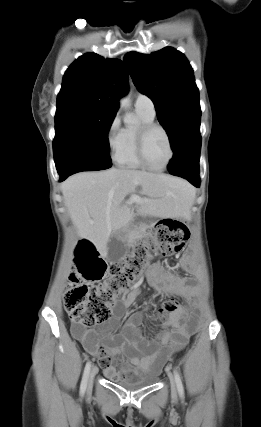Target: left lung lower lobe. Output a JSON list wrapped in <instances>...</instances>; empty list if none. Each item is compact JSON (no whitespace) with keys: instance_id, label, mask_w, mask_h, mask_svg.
<instances>
[{"instance_id":"0a47b994","label":"left lung lower lobe","mask_w":261,"mask_h":427,"mask_svg":"<svg viewBox=\"0 0 261 427\" xmlns=\"http://www.w3.org/2000/svg\"><path fill=\"white\" fill-rule=\"evenodd\" d=\"M200 149V126L193 127L183 133L173 147L174 155L168 165L169 173L183 177L195 187H199Z\"/></svg>"}]
</instances>
